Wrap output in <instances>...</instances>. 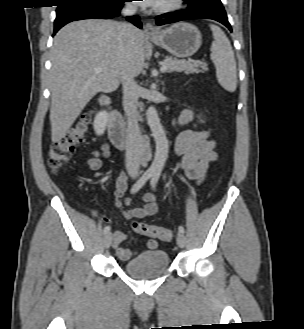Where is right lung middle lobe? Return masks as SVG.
<instances>
[{"mask_svg":"<svg viewBox=\"0 0 304 329\" xmlns=\"http://www.w3.org/2000/svg\"><path fill=\"white\" fill-rule=\"evenodd\" d=\"M61 5H65V4H71V3H78V2H109L112 0H59Z\"/></svg>","mask_w":304,"mask_h":329,"instance_id":"1","label":"right lung middle lobe"}]
</instances>
